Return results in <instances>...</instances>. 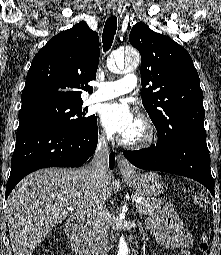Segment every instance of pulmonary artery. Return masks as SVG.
Masks as SVG:
<instances>
[{"label": "pulmonary artery", "mask_w": 221, "mask_h": 255, "mask_svg": "<svg viewBox=\"0 0 221 255\" xmlns=\"http://www.w3.org/2000/svg\"><path fill=\"white\" fill-rule=\"evenodd\" d=\"M136 85L137 77L133 73L126 74L117 81L99 82L96 84L98 90L90 96L89 101L100 102L129 93Z\"/></svg>", "instance_id": "1"}]
</instances>
